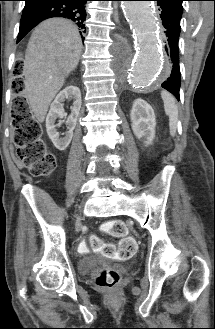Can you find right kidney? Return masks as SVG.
Here are the masks:
<instances>
[{"label":"right kidney","mask_w":215,"mask_h":329,"mask_svg":"<svg viewBox=\"0 0 215 329\" xmlns=\"http://www.w3.org/2000/svg\"><path fill=\"white\" fill-rule=\"evenodd\" d=\"M65 100H73V106L71 107V114L67 117L65 123L68 131L64 137H60L57 131L55 121L57 118H63L66 113L63 109V102ZM81 108V92L77 86L69 85L58 93L55 100L51 104L49 113L46 117V130L49 138L54 146L60 150H65L73 137V130L75 129L79 111Z\"/></svg>","instance_id":"ca27d5eb"}]
</instances>
